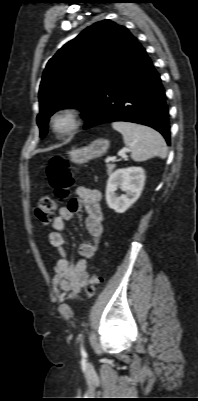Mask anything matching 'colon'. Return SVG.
I'll return each instance as SVG.
<instances>
[{
    "instance_id": "5ec220e1",
    "label": "colon",
    "mask_w": 198,
    "mask_h": 401,
    "mask_svg": "<svg viewBox=\"0 0 198 401\" xmlns=\"http://www.w3.org/2000/svg\"><path fill=\"white\" fill-rule=\"evenodd\" d=\"M45 171L56 198L60 200L67 199L70 189L74 184V178L68 162L60 156L52 157ZM55 210L56 201L51 197L45 196L40 198L35 209V214L42 224H48L52 220ZM99 282L100 277L98 274H93L90 277L85 287L88 297H93L95 295Z\"/></svg>"
}]
</instances>
